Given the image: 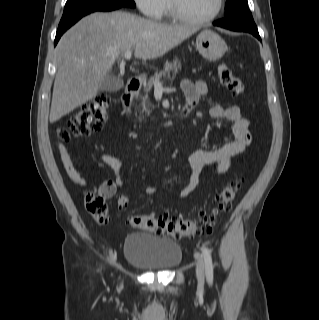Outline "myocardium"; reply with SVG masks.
I'll return each instance as SVG.
<instances>
[{
  "mask_svg": "<svg viewBox=\"0 0 319 320\" xmlns=\"http://www.w3.org/2000/svg\"><path fill=\"white\" fill-rule=\"evenodd\" d=\"M224 6V0H217V6L215 11L204 18H192L187 15H185L180 8L178 7L177 1L176 0H169V8H170V13L171 16L173 17L174 20L180 22V23H186V24H205L212 22L215 20L219 14L221 13L222 9Z\"/></svg>",
  "mask_w": 319,
  "mask_h": 320,
  "instance_id": "obj_1",
  "label": "myocardium"
}]
</instances>
